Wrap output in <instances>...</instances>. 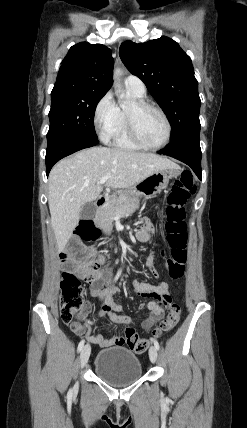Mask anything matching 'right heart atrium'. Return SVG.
Returning a JSON list of instances; mask_svg holds the SVG:
<instances>
[{"label":"right heart atrium","mask_w":247,"mask_h":428,"mask_svg":"<svg viewBox=\"0 0 247 428\" xmlns=\"http://www.w3.org/2000/svg\"><path fill=\"white\" fill-rule=\"evenodd\" d=\"M93 121L95 129L103 141H110L118 122V107L110 92L106 93L96 104Z\"/></svg>","instance_id":"right-heart-atrium-1"}]
</instances>
